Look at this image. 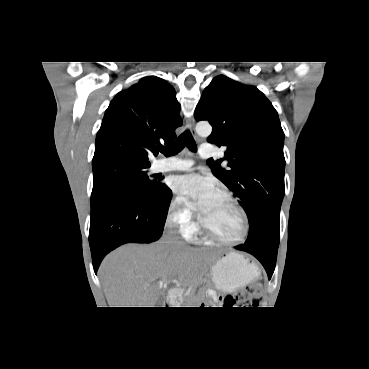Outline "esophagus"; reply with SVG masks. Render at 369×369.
<instances>
[{"mask_svg":"<svg viewBox=\"0 0 369 369\" xmlns=\"http://www.w3.org/2000/svg\"><path fill=\"white\" fill-rule=\"evenodd\" d=\"M187 127L190 130V132L192 133L193 136H196V131H195V119L194 117H191L187 120Z\"/></svg>","mask_w":369,"mask_h":369,"instance_id":"esophagus-1","label":"esophagus"}]
</instances>
